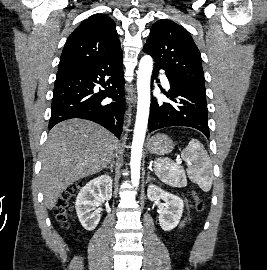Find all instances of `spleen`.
I'll list each match as a JSON object with an SVG mask.
<instances>
[{
	"instance_id": "3e777b00",
	"label": "spleen",
	"mask_w": 267,
	"mask_h": 270,
	"mask_svg": "<svg viewBox=\"0 0 267 270\" xmlns=\"http://www.w3.org/2000/svg\"><path fill=\"white\" fill-rule=\"evenodd\" d=\"M181 156L188 163L187 175L191 181L208 192L213 181L212 162L204 146L197 140L191 139ZM155 171L164 182L176 187L186 185V174L179 163L169 159L157 160Z\"/></svg>"
}]
</instances>
